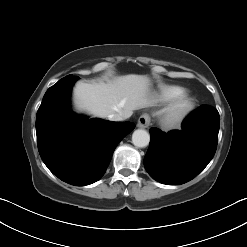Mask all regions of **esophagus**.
Wrapping results in <instances>:
<instances>
[{"label": "esophagus", "instance_id": "1", "mask_svg": "<svg viewBox=\"0 0 247 247\" xmlns=\"http://www.w3.org/2000/svg\"><path fill=\"white\" fill-rule=\"evenodd\" d=\"M150 125V116L148 114H142L137 122L138 128H147Z\"/></svg>", "mask_w": 247, "mask_h": 247}]
</instances>
